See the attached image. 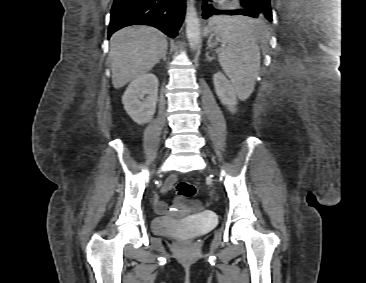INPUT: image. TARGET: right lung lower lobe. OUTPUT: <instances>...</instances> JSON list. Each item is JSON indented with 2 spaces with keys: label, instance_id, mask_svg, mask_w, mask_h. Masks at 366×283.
I'll return each instance as SVG.
<instances>
[{
  "label": "right lung lower lobe",
  "instance_id": "obj_1",
  "mask_svg": "<svg viewBox=\"0 0 366 283\" xmlns=\"http://www.w3.org/2000/svg\"><path fill=\"white\" fill-rule=\"evenodd\" d=\"M186 0H114L108 39L131 25H149L171 38L176 37L184 19Z\"/></svg>",
  "mask_w": 366,
  "mask_h": 283
}]
</instances>
